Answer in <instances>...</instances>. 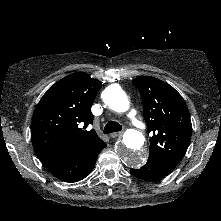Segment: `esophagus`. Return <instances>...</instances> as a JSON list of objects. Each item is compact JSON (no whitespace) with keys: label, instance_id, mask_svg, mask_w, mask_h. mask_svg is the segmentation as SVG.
Here are the masks:
<instances>
[{"label":"esophagus","instance_id":"34e87169","mask_svg":"<svg viewBox=\"0 0 221 221\" xmlns=\"http://www.w3.org/2000/svg\"><path fill=\"white\" fill-rule=\"evenodd\" d=\"M122 133H123L122 131H120V132H113V133L110 134V136H111L112 138H116V137H118V136H121Z\"/></svg>","mask_w":221,"mask_h":221}]
</instances>
